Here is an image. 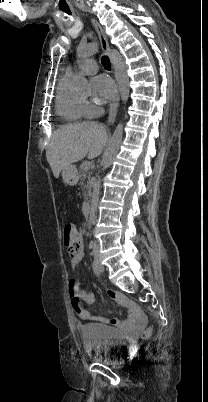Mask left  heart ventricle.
I'll return each mask as SVG.
<instances>
[{
	"label": "left heart ventricle",
	"instance_id": "b2bd125f",
	"mask_svg": "<svg viewBox=\"0 0 208 402\" xmlns=\"http://www.w3.org/2000/svg\"><path fill=\"white\" fill-rule=\"evenodd\" d=\"M90 94L89 86L87 90L83 93L84 96H88ZM96 95L99 97V93L97 92Z\"/></svg>",
	"mask_w": 208,
	"mask_h": 402
}]
</instances>
